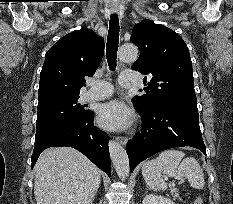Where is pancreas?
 <instances>
[{
    "instance_id": "pancreas-1",
    "label": "pancreas",
    "mask_w": 233,
    "mask_h": 204,
    "mask_svg": "<svg viewBox=\"0 0 233 204\" xmlns=\"http://www.w3.org/2000/svg\"><path fill=\"white\" fill-rule=\"evenodd\" d=\"M170 191L174 198H179L178 190L176 188H171Z\"/></svg>"
}]
</instances>
